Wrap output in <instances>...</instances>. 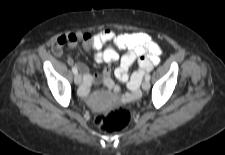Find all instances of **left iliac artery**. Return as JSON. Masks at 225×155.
<instances>
[{
	"label": "left iliac artery",
	"instance_id": "44dca946",
	"mask_svg": "<svg viewBox=\"0 0 225 155\" xmlns=\"http://www.w3.org/2000/svg\"><path fill=\"white\" fill-rule=\"evenodd\" d=\"M150 77H151L150 74H146L145 80H148L149 81L150 80Z\"/></svg>",
	"mask_w": 225,
	"mask_h": 155
}]
</instances>
